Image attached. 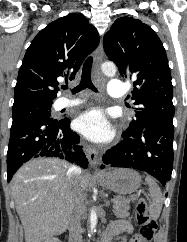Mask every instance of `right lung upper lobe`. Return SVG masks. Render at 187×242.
Masks as SVG:
<instances>
[{"label": "right lung upper lobe", "mask_w": 187, "mask_h": 242, "mask_svg": "<svg viewBox=\"0 0 187 242\" xmlns=\"http://www.w3.org/2000/svg\"><path fill=\"white\" fill-rule=\"evenodd\" d=\"M99 44L95 27L81 14L50 23L31 42L19 69L14 104L52 103L59 77L72 79Z\"/></svg>", "instance_id": "1"}]
</instances>
